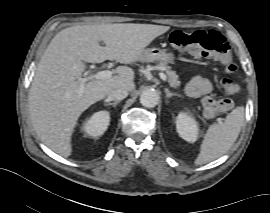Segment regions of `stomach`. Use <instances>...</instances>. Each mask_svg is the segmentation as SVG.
Masks as SVG:
<instances>
[{"mask_svg":"<svg viewBox=\"0 0 270 213\" xmlns=\"http://www.w3.org/2000/svg\"><path fill=\"white\" fill-rule=\"evenodd\" d=\"M175 60V55L172 52H167L159 48H148L144 49L139 61L142 62H163V63H173Z\"/></svg>","mask_w":270,"mask_h":213,"instance_id":"obj_1","label":"stomach"}]
</instances>
